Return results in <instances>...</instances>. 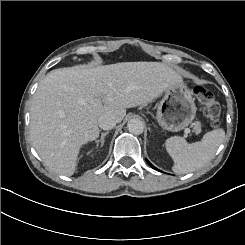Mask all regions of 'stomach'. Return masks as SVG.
Returning <instances> with one entry per match:
<instances>
[{
	"label": "stomach",
	"instance_id": "1",
	"mask_svg": "<svg viewBox=\"0 0 245 245\" xmlns=\"http://www.w3.org/2000/svg\"><path fill=\"white\" fill-rule=\"evenodd\" d=\"M196 110L191 91L183 82L176 83L165 90L157 109L156 119L162 128L177 132L194 120Z\"/></svg>",
	"mask_w": 245,
	"mask_h": 245
}]
</instances>
